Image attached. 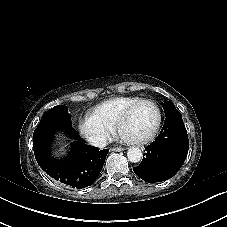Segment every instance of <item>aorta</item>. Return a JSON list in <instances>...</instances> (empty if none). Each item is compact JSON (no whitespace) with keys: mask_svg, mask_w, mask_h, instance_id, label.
Returning a JSON list of instances; mask_svg holds the SVG:
<instances>
[{"mask_svg":"<svg viewBox=\"0 0 227 227\" xmlns=\"http://www.w3.org/2000/svg\"><path fill=\"white\" fill-rule=\"evenodd\" d=\"M127 157L130 162L137 163L142 159V152L138 147H130L127 151Z\"/></svg>","mask_w":227,"mask_h":227,"instance_id":"762f6f07","label":"aorta"}]
</instances>
